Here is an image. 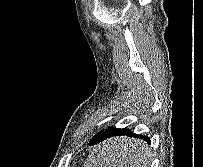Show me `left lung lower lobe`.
Returning a JSON list of instances; mask_svg holds the SVG:
<instances>
[{
	"label": "left lung lower lobe",
	"instance_id": "left-lung-lower-lobe-1",
	"mask_svg": "<svg viewBox=\"0 0 203 167\" xmlns=\"http://www.w3.org/2000/svg\"><path fill=\"white\" fill-rule=\"evenodd\" d=\"M121 135H126V136H129V137H135V138H139V139H142L144 141H146L148 144H150V140L148 138V136H138L136 135L135 133H133L130 129H120V128H115V127H109L108 129H106L105 131L101 130L100 132H98L95 136H93V138L90 140L89 142V145H95V144H98L104 140H108L109 144L112 145V148L114 149H118L120 148L123 144V146H126V147H129L131 140H128L127 138H116V139H111L112 137H116V136H121ZM112 141L113 144L110 142ZM137 149H134L131 147V153H137L138 152V149L140 150V146H135Z\"/></svg>",
	"mask_w": 203,
	"mask_h": 167
}]
</instances>
